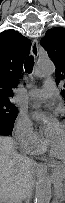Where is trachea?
I'll return each mask as SVG.
<instances>
[{
  "instance_id": "obj_1",
  "label": "trachea",
  "mask_w": 65,
  "mask_h": 203,
  "mask_svg": "<svg viewBox=\"0 0 65 203\" xmlns=\"http://www.w3.org/2000/svg\"><path fill=\"white\" fill-rule=\"evenodd\" d=\"M34 66L33 56H27L24 62V68L27 73H31Z\"/></svg>"
}]
</instances>
